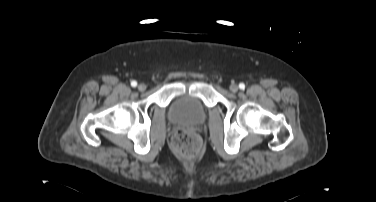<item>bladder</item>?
Wrapping results in <instances>:
<instances>
[{"instance_id":"31cf9c89","label":"bladder","mask_w":376,"mask_h":202,"mask_svg":"<svg viewBox=\"0 0 376 202\" xmlns=\"http://www.w3.org/2000/svg\"><path fill=\"white\" fill-rule=\"evenodd\" d=\"M206 115V108L202 100L189 93L175 96L168 109V116L172 121L190 126L202 124Z\"/></svg>"}]
</instances>
